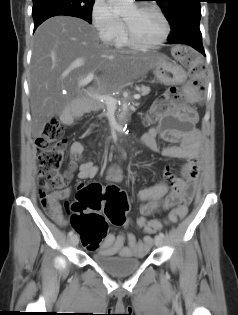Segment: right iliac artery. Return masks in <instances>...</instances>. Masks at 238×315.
I'll return each instance as SVG.
<instances>
[{
	"label": "right iliac artery",
	"instance_id": "right-iliac-artery-1",
	"mask_svg": "<svg viewBox=\"0 0 238 315\" xmlns=\"http://www.w3.org/2000/svg\"><path fill=\"white\" fill-rule=\"evenodd\" d=\"M73 234H74V231H73V230H71V231L68 233L69 237H71Z\"/></svg>",
	"mask_w": 238,
	"mask_h": 315
}]
</instances>
